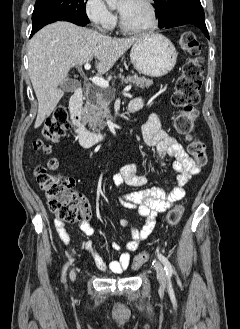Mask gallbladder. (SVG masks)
Listing matches in <instances>:
<instances>
[{
  "label": "gallbladder",
  "instance_id": "gallbladder-1",
  "mask_svg": "<svg viewBox=\"0 0 240 329\" xmlns=\"http://www.w3.org/2000/svg\"><path fill=\"white\" fill-rule=\"evenodd\" d=\"M81 86L80 82L76 79L67 78L60 83V88L64 92H74Z\"/></svg>",
  "mask_w": 240,
  "mask_h": 329
}]
</instances>
